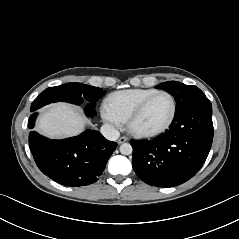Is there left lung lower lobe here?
<instances>
[{
  "label": "left lung lower lobe",
  "instance_id": "1",
  "mask_svg": "<svg viewBox=\"0 0 239 239\" xmlns=\"http://www.w3.org/2000/svg\"><path fill=\"white\" fill-rule=\"evenodd\" d=\"M213 140L212 105H192L178 113L168 130L150 141L131 140L138 177L157 187H174L204 164Z\"/></svg>",
  "mask_w": 239,
  "mask_h": 239
}]
</instances>
